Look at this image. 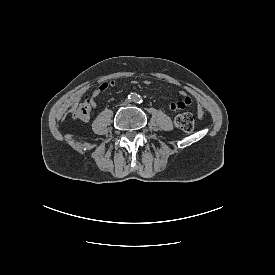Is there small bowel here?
Here are the masks:
<instances>
[{"label":"small bowel","mask_w":275,"mask_h":275,"mask_svg":"<svg viewBox=\"0 0 275 275\" xmlns=\"http://www.w3.org/2000/svg\"><path fill=\"white\" fill-rule=\"evenodd\" d=\"M109 87H111L109 85V83H101L91 94L90 97V105L92 107H96L97 106V98L99 97V95L103 92H105ZM182 99L179 100L178 102H173L170 104V108L172 110H177V109H183L186 108L188 106H190L192 104V99L190 96L186 95L185 91H181L180 92ZM198 116L202 117L203 116V110L202 108H198Z\"/></svg>","instance_id":"c3829d8e"}]
</instances>
